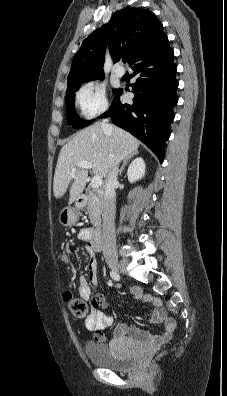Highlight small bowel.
<instances>
[{"instance_id": "c3829d8e", "label": "small bowel", "mask_w": 227, "mask_h": 396, "mask_svg": "<svg viewBox=\"0 0 227 396\" xmlns=\"http://www.w3.org/2000/svg\"><path fill=\"white\" fill-rule=\"evenodd\" d=\"M91 234L92 232L88 228L82 229L79 233V238L85 243L83 248L89 256L87 266L88 273L86 276H80L78 282L79 296L83 300L90 299L92 294L91 287L97 286L98 284V262L94 256V252L99 250V248L93 243ZM131 294L136 299L154 306L152 320L155 323L163 324V332L159 335H151L147 331L137 327L120 324L115 328L111 342L113 344H135L152 350L157 349L172 338L176 329V322L174 319L167 316L159 299L143 294L142 290L138 287H133L131 289ZM105 305L106 303L102 296H95L93 299V306L95 308L85 319V327L94 333V339L100 343L107 341L104 331L113 323V319L110 315L99 310L104 308Z\"/></svg>"}]
</instances>
